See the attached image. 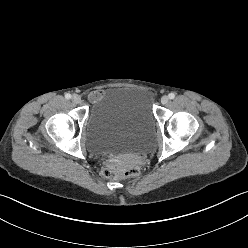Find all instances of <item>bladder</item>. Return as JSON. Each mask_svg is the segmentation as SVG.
Returning <instances> with one entry per match:
<instances>
[{
    "instance_id": "obj_1",
    "label": "bladder",
    "mask_w": 248,
    "mask_h": 248,
    "mask_svg": "<svg viewBox=\"0 0 248 248\" xmlns=\"http://www.w3.org/2000/svg\"><path fill=\"white\" fill-rule=\"evenodd\" d=\"M154 126L155 117L144 90L112 88L95 103L89 114L88 146L102 155H140L151 146Z\"/></svg>"
}]
</instances>
